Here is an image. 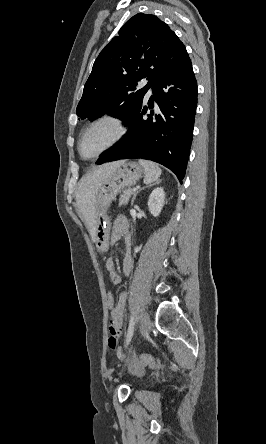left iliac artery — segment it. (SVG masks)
Returning <instances> with one entry per match:
<instances>
[{"label":"left iliac artery","mask_w":266,"mask_h":444,"mask_svg":"<svg viewBox=\"0 0 266 444\" xmlns=\"http://www.w3.org/2000/svg\"><path fill=\"white\" fill-rule=\"evenodd\" d=\"M134 316H131L130 318V323H129V328H128V332H127V336H126V340H125V346L127 347V345L130 343L131 338L133 336V332H134Z\"/></svg>","instance_id":"obj_1"}]
</instances>
